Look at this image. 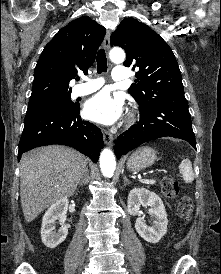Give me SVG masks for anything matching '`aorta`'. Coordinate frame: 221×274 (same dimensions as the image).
<instances>
[{
	"mask_svg": "<svg viewBox=\"0 0 221 274\" xmlns=\"http://www.w3.org/2000/svg\"><path fill=\"white\" fill-rule=\"evenodd\" d=\"M110 59L115 63H122L125 60V52L121 48H113L109 54ZM100 168L105 177H112L116 169V161L113 152L106 148L100 154Z\"/></svg>",
	"mask_w": 221,
	"mask_h": 274,
	"instance_id": "aorta-1",
	"label": "aorta"
}]
</instances>
